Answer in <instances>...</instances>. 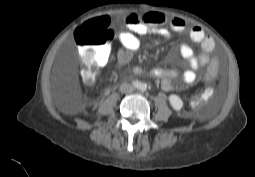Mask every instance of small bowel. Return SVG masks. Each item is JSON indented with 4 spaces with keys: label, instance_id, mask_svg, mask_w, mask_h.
Masks as SVG:
<instances>
[{
    "label": "small bowel",
    "instance_id": "obj_1",
    "mask_svg": "<svg viewBox=\"0 0 255 177\" xmlns=\"http://www.w3.org/2000/svg\"><path fill=\"white\" fill-rule=\"evenodd\" d=\"M125 24L127 30L121 31L118 35L122 45L117 52V61L120 65L128 64L132 60L134 53L140 49V36L154 35L159 38H167L169 36L167 25L175 32H183L188 28L184 19L179 17L168 19L164 14L156 11H145L140 15L130 13L125 17ZM76 31L81 32L82 27L78 28ZM189 35L194 42L200 44L201 52L198 55H195L194 50L186 44H181L177 50H173L170 53L172 58L180 56L188 63L189 68L185 70L181 76L184 85H189L196 81L197 70L201 66L208 64L207 73L209 70H214V75L219 66L218 58L211 56L215 49L214 39L207 36L204 30L197 25L189 28ZM110 54V46L96 52V59L99 67H103L108 63ZM135 72L138 74L145 73V71L139 67L135 68ZM148 74L154 78L160 79L161 87L165 91H170L174 88L173 80L179 76V72L175 69L160 67L149 70ZM184 85L180 86L179 89H182Z\"/></svg>",
    "mask_w": 255,
    "mask_h": 177
}]
</instances>
